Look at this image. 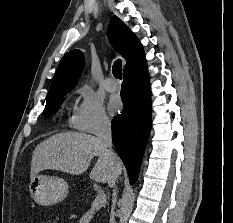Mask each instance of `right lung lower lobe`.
Here are the masks:
<instances>
[{
	"label": "right lung lower lobe",
	"instance_id": "98d812e1",
	"mask_svg": "<svg viewBox=\"0 0 233 223\" xmlns=\"http://www.w3.org/2000/svg\"><path fill=\"white\" fill-rule=\"evenodd\" d=\"M150 86L147 65L124 74L121 89L123 111L112 121L113 144L130 178L137 181L151 128Z\"/></svg>",
	"mask_w": 233,
	"mask_h": 223
}]
</instances>
